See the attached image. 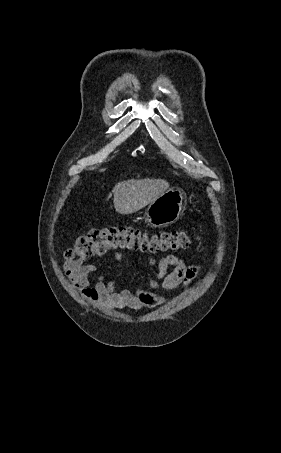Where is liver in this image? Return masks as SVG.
<instances>
[{
  "label": "liver",
  "instance_id": "obj_1",
  "mask_svg": "<svg viewBox=\"0 0 281 453\" xmlns=\"http://www.w3.org/2000/svg\"><path fill=\"white\" fill-rule=\"evenodd\" d=\"M167 188H169V182L164 178L122 180L117 182L112 190L114 206L120 214H132L158 198ZM112 192H109L107 200L112 196Z\"/></svg>",
  "mask_w": 281,
  "mask_h": 453
}]
</instances>
